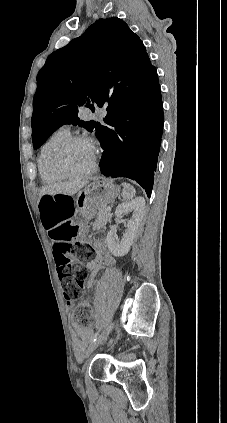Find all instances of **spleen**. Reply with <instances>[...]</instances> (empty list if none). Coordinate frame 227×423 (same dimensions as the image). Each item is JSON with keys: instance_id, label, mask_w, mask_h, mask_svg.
<instances>
[{"instance_id": "3e777b00", "label": "spleen", "mask_w": 227, "mask_h": 423, "mask_svg": "<svg viewBox=\"0 0 227 423\" xmlns=\"http://www.w3.org/2000/svg\"><path fill=\"white\" fill-rule=\"evenodd\" d=\"M123 186V198L124 200H131V198H134L135 196V190L133 188V186H130V184H122Z\"/></svg>"}]
</instances>
